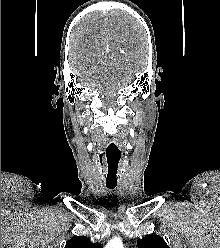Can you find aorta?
Here are the masks:
<instances>
[{
  "label": "aorta",
  "mask_w": 220,
  "mask_h": 248,
  "mask_svg": "<svg viewBox=\"0 0 220 248\" xmlns=\"http://www.w3.org/2000/svg\"><path fill=\"white\" fill-rule=\"evenodd\" d=\"M105 248H123V244L120 238H114L107 243Z\"/></svg>",
  "instance_id": "762f6f07"
}]
</instances>
